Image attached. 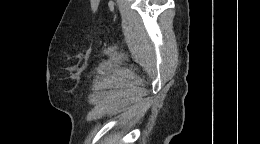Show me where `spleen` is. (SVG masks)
<instances>
[{
    "mask_svg": "<svg viewBox=\"0 0 260 144\" xmlns=\"http://www.w3.org/2000/svg\"><path fill=\"white\" fill-rule=\"evenodd\" d=\"M115 141H117V139L115 138L112 142H111V144H113Z\"/></svg>",
    "mask_w": 260,
    "mask_h": 144,
    "instance_id": "1",
    "label": "spleen"
}]
</instances>
